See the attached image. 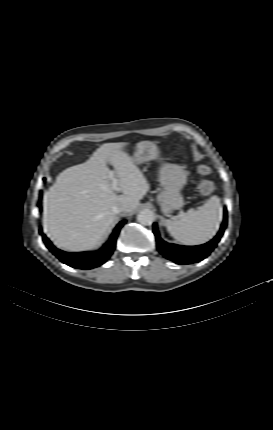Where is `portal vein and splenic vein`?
Segmentation results:
<instances>
[{
	"instance_id": "obj_1",
	"label": "portal vein and splenic vein",
	"mask_w": 273,
	"mask_h": 430,
	"mask_svg": "<svg viewBox=\"0 0 273 430\" xmlns=\"http://www.w3.org/2000/svg\"><path fill=\"white\" fill-rule=\"evenodd\" d=\"M108 177L112 181V184H111L112 190L120 191V187H118V179L115 177L114 171H110Z\"/></svg>"
}]
</instances>
